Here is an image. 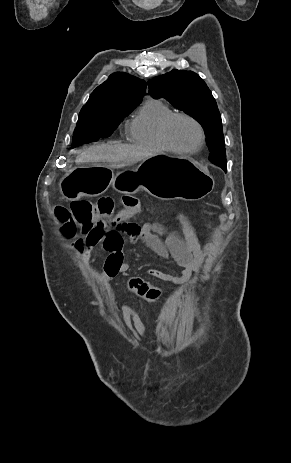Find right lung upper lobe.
Wrapping results in <instances>:
<instances>
[{
    "mask_svg": "<svg viewBox=\"0 0 291 463\" xmlns=\"http://www.w3.org/2000/svg\"><path fill=\"white\" fill-rule=\"evenodd\" d=\"M146 82L127 73L116 72L98 86L90 95L81 110L98 108L106 105H138L145 93Z\"/></svg>",
    "mask_w": 291,
    "mask_h": 463,
    "instance_id": "obj_1",
    "label": "right lung upper lobe"
}]
</instances>
